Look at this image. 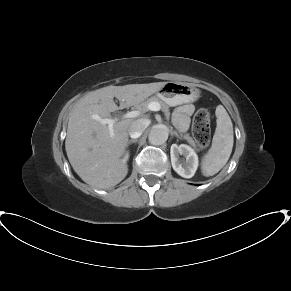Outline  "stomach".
<instances>
[{
    "mask_svg": "<svg viewBox=\"0 0 291 291\" xmlns=\"http://www.w3.org/2000/svg\"><path fill=\"white\" fill-rule=\"evenodd\" d=\"M157 96L170 106L193 102L199 97V90L189 84L166 82L157 91Z\"/></svg>",
    "mask_w": 291,
    "mask_h": 291,
    "instance_id": "1",
    "label": "stomach"
}]
</instances>
